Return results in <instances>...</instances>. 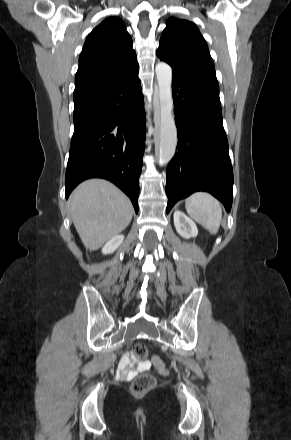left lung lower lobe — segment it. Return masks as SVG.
Listing matches in <instances>:
<instances>
[{
	"label": "left lung lower lobe",
	"instance_id": "left-lung-lower-lobe-1",
	"mask_svg": "<svg viewBox=\"0 0 291 440\" xmlns=\"http://www.w3.org/2000/svg\"><path fill=\"white\" fill-rule=\"evenodd\" d=\"M172 89L178 151L166 171V212L195 191L211 193L230 211L233 171L218 82L173 70Z\"/></svg>",
	"mask_w": 291,
	"mask_h": 440
}]
</instances>
